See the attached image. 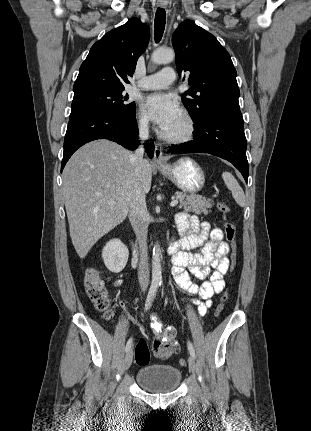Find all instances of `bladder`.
Returning a JSON list of instances; mask_svg holds the SVG:
<instances>
[{
	"mask_svg": "<svg viewBox=\"0 0 311 431\" xmlns=\"http://www.w3.org/2000/svg\"><path fill=\"white\" fill-rule=\"evenodd\" d=\"M136 381L150 393H171L179 388L182 372L170 364H146L137 371Z\"/></svg>",
	"mask_w": 311,
	"mask_h": 431,
	"instance_id": "31cf9c89",
	"label": "bladder"
}]
</instances>
